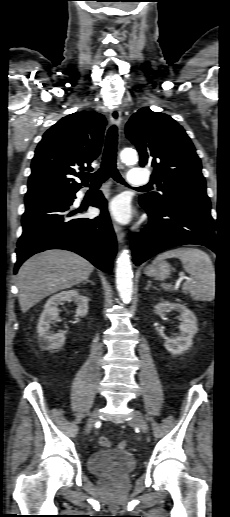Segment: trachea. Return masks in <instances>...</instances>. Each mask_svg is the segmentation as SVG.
I'll return each mask as SVG.
<instances>
[{
    "label": "trachea",
    "mask_w": 230,
    "mask_h": 517,
    "mask_svg": "<svg viewBox=\"0 0 230 517\" xmlns=\"http://www.w3.org/2000/svg\"><path fill=\"white\" fill-rule=\"evenodd\" d=\"M117 127L111 126L107 132L105 148L101 167L95 173H85L86 178L91 181L92 186H100L108 178L112 177L115 181L125 184V181L119 174L116 167L117 156ZM139 188H149V186H142Z\"/></svg>",
    "instance_id": "trachea-1"
}]
</instances>
